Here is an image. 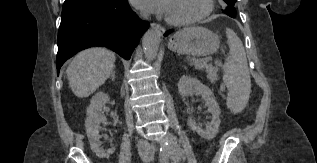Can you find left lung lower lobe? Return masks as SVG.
<instances>
[{
  "label": "left lung lower lobe",
  "mask_w": 317,
  "mask_h": 163,
  "mask_svg": "<svg viewBox=\"0 0 317 163\" xmlns=\"http://www.w3.org/2000/svg\"><path fill=\"white\" fill-rule=\"evenodd\" d=\"M170 32H172V30L171 31H167L164 36H167Z\"/></svg>",
  "instance_id": "obj_1"
}]
</instances>
